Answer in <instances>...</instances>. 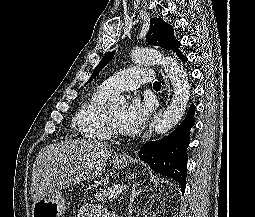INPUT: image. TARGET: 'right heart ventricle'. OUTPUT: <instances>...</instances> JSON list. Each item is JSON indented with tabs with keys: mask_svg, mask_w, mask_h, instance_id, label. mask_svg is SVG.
Masks as SVG:
<instances>
[{
	"mask_svg": "<svg viewBox=\"0 0 255 217\" xmlns=\"http://www.w3.org/2000/svg\"><path fill=\"white\" fill-rule=\"evenodd\" d=\"M111 95L100 85L78 108L72 126L80 136L93 141H104L110 138L107 129L105 103Z\"/></svg>",
	"mask_w": 255,
	"mask_h": 217,
	"instance_id": "1",
	"label": "right heart ventricle"
}]
</instances>
